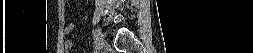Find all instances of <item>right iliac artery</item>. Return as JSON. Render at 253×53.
Here are the masks:
<instances>
[{"mask_svg":"<svg viewBox=\"0 0 253 53\" xmlns=\"http://www.w3.org/2000/svg\"><path fill=\"white\" fill-rule=\"evenodd\" d=\"M92 36H93V40H94V44H95V49L97 52V49L99 48V46H98V41H97V37H96L94 30L92 31Z\"/></svg>","mask_w":253,"mask_h":53,"instance_id":"right-iliac-artery-1","label":"right iliac artery"}]
</instances>
